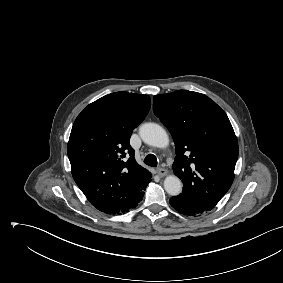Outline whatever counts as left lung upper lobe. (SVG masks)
Wrapping results in <instances>:
<instances>
[{"label": "left lung upper lobe", "mask_w": 283, "mask_h": 283, "mask_svg": "<svg viewBox=\"0 0 283 283\" xmlns=\"http://www.w3.org/2000/svg\"><path fill=\"white\" fill-rule=\"evenodd\" d=\"M153 111L173 136V171L182 193L213 209L232 185L238 158L226 113L206 95L187 90L155 95Z\"/></svg>", "instance_id": "5c2ea615"}]
</instances>
